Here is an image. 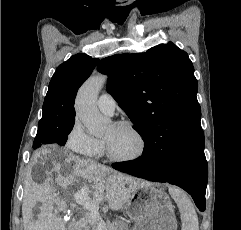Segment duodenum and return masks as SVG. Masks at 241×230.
Masks as SVG:
<instances>
[{
    "instance_id": "duodenum-1",
    "label": "duodenum",
    "mask_w": 241,
    "mask_h": 230,
    "mask_svg": "<svg viewBox=\"0 0 241 230\" xmlns=\"http://www.w3.org/2000/svg\"><path fill=\"white\" fill-rule=\"evenodd\" d=\"M74 225H75V221H72V222L70 223V227H71V229L74 228Z\"/></svg>"
}]
</instances>
